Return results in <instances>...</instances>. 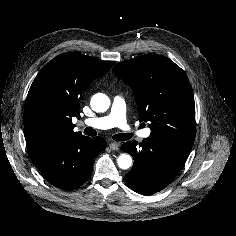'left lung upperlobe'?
I'll list each match as a JSON object with an SVG mask.
<instances>
[{"label": "left lung upper lobe", "instance_id": "1", "mask_svg": "<svg viewBox=\"0 0 236 236\" xmlns=\"http://www.w3.org/2000/svg\"><path fill=\"white\" fill-rule=\"evenodd\" d=\"M113 72L133 89L139 121L149 123L150 136L193 145L195 105L184 70L165 56L146 54L116 64Z\"/></svg>", "mask_w": 236, "mask_h": 236}]
</instances>
